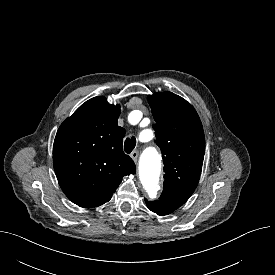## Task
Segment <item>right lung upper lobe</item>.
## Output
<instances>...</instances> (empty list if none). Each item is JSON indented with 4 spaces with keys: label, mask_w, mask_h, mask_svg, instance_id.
I'll return each mask as SVG.
<instances>
[{
    "label": "right lung upper lobe",
    "mask_w": 275,
    "mask_h": 275,
    "mask_svg": "<svg viewBox=\"0 0 275 275\" xmlns=\"http://www.w3.org/2000/svg\"><path fill=\"white\" fill-rule=\"evenodd\" d=\"M120 105L91 98L58 129L54 170L65 195L83 208L108 202L123 176L136 171L122 150L125 129L118 126Z\"/></svg>",
    "instance_id": "1"
}]
</instances>
